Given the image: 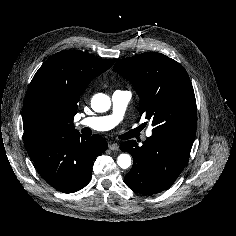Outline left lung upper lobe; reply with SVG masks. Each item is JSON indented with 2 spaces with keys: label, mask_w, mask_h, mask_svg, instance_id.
<instances>
[{
  "label": "left lung upper lobe",
  "mask_w": 236,
  "mask_h": 236,
  "mask_svg": "<svg viewBox=\"0 0 236 236\" xmlns=\"http://www.w3.org/2000/svg\"><path fill=\"white\" fill-rule=\"evenodd\" d=\"M113 70L134 84L140 114L154 126L152 135L195 139V95L178 62L160 53H143L119 60Z\"/></svg>",
  "instance_id": "obj_1"
}]
</instances>
